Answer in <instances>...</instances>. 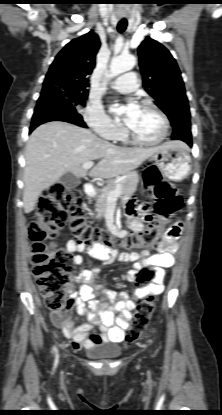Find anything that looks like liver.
Returning a JSON list of instances; mask_svg holds the SVG:
<instances>
[{
  "label": "liver",
  "instance_id": "obj_1",
  "mask_svg": "<svg viewBox=\"0 0 222 415\" xmlns=\"http://www.w3.org/2000/svg\"><path fill=\"white\" fill-rule=\"evenodd\" d=\"M171 145L186 146L180 141ZM160 148L118 147L98 138L88 129L66 122L42 124L32 132L26 146L24 212H32L41 193L67 172L76 177L88 174L113 178L136 169ZM94 160L99 162L89 173L82 168L83 163Z\"/></svg>",
  "mask_w": 222,
  "mask_h": 415
}]
</instances>
